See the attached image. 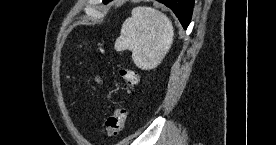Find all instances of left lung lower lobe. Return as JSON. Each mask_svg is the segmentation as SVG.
Masks as SVG:
<instances>
[{
	"instance_id": "left-lung-lower-lobe-1",
	"label": "left lung lower lobe",
	"mask_w": 276,
	"mask_h": 145,
	"mask_svg": "<svg viewBox=\"0 0 276 145\" xmlns=\"http://www.w3.org/2000/svg\"><path fill=\"white\" fill-rule=\"evenodd\" d=\"M111 0H103L108 3ZM168 6L178 17L184 29H187L194 6V0H157Z\"/></svg>"
}]
</instances>
